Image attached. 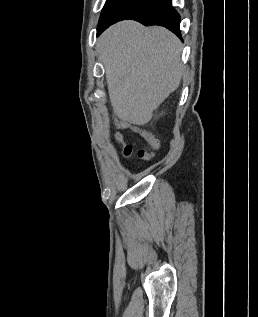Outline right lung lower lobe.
I'll return each instance as SVG.
<instances>
[{"instance_id": "1", "label": "right lung lower lobe", "mask_w": 258, "mask_h": 317, "mask_svg": "<svg viewBox=\"0 0 258 317\" xmlns=\"http://www.w3.org/2000/svg\"><path fill=\"white\" fill-rule=\"evenodd\" d=\"M125 19L136 20L146 26H164L181 38L180 16L172 7L171 0H107L97 36L110 25Z\"/></svg>"}]
</instances>
